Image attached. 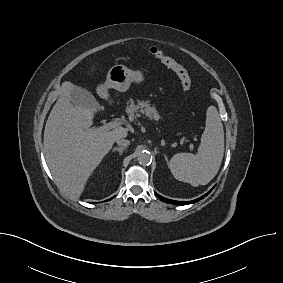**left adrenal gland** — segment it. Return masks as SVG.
<instances>
[{"label":"left adrenal gland","mask_w":283,"mask_h":283,"mask_svg":"<svg viewBox=\"0 0 283 283\" xmlns=\"http://www.w3.org/2000/svg\"><path fill=\"white\" fill-rule=\"evenodd\" d=\"M164 157H165V160L167 161V164H168V157L166 154H164Z\"/></svg>","instance_id":"1"}]
</instances>
